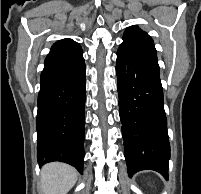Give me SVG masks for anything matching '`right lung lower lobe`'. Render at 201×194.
Wrapping results in <instances>:
<instances>
[{"label":"right lung lower lobe","mask_w":201,"mask_h":194,"mask_svg":"<svg viewBox=\"0 0 201 194\" xmlns=\"http://www.w3.org/2000/svg\"><path fill=\"white\" fill-rule=\"evenodd\" d=\"M85 73L84 59L48 65L41 73L36 120L40 166L61 161L83 172Z\"/></svg>","instance_id":"obj_1"}]
</instances>
